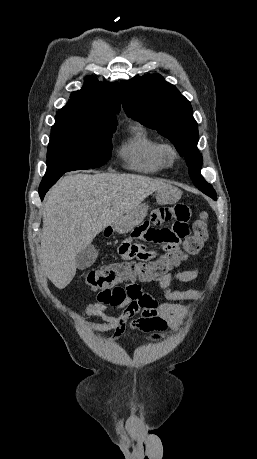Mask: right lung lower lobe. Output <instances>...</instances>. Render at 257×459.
Returning <instances> with one entry per match:
<instances>
[{
  "mask_svg": "<svg viewBox=\"0 0 257 459\" xmlns=\"http://www.w3.org/2000/svg\"><path fill=\"white\" fill-rule=\"evenodd\" d=\"M64 173H60V174H57V175H54V176H47L45 175L43 177V180L39 186V195H40V198L41 200H43L44 198V195L46 194V192L49 190V188L54 185L57 180L63 175Z\"/></svg>",
  "mask_w": 257,
  "mask_h": 459,
  "instance_id": "98d812e1",
  "label": "right lung lower lobe"
}]
</instances>
